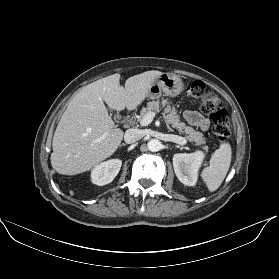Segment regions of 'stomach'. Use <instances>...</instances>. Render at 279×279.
Masks as SVG:
<instances>
[{
  "instance_id": "obj_1",
  "label": "stomach",
  "mask_w": 279,
  "mask_h": 279,
  "mask_svg": "<svg viewBox=\"0 0 279 279\" xmlns=\"http://www.w3.org/2000/svg\"><path fill=\"white\" fill-rule=\"evenodd\" d=\"M181 78L175 74L162 73L151 85L148 98L158 99L162 94L175 97L183 91Z\"/></svg>"
}]
</instances>
